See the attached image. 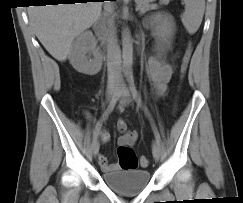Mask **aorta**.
Wrapping results in <instances>:
<instances>
[{
  "label": "aorta",
  "instance_id": "762f6f07",
  "mask_svg": "<svg viewBox=\"0 0 243 203\" xmlns=\"http://www.w3.org/2000/svg\"><path fill=\"white\" fill-rule=\"evenodd\" d=\"M122 58L123 68L129 72L133 64V41L127 28L122 32Z\"/></svg>",
  "mask_w": 243,
  "mask_h": 203
}]
</instances>
